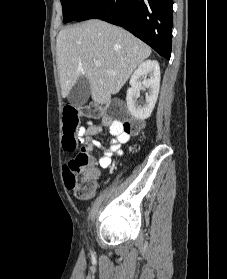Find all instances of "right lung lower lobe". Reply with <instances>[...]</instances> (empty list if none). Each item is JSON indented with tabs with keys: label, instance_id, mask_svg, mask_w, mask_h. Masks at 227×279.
I'll use <instances>...</instances> for the list:
<instances>
[{
	"label": "right lung lower lobe",
	"instance_id": "98d812e1",
	"mask_svg": "<svg viewBox=\"0 0 227 279\" xmlns=\"http://www.w3.org/2000/svg\"><path fill=\"white\" fill-rule=\"evenodd\" d=\"M173 0H91L74 19L121 26L170 59Z\"/></svg>",
	"mask_w": 227,
	"mask_h": 279
}]
</instances>
